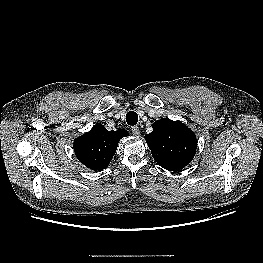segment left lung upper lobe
Segmentation results:
<instances>
[{
    "mask_svg": "<svg viewBox=\"0 0 263 263\" xmlns=\"http://www.w3.org/2000/svg\"><path fill=\"white\" fill-rule=\"evenodd\" d=\"M153 132L145 136L154 160L164 169L178 171L187 166L196 153V136L186 125L168 118L153 123Z\"/></svg>",
    "mask_w": 263,
    "mask_h": 263,
    "instance_id": "obj_1",
    "label": "left lung upper lobe"
}]
</instances>
